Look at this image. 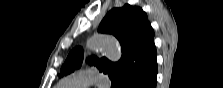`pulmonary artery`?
I'll use <instances>...</instances> for the list:
<instances>
[{"label": "pulmonary artery", "mask_w": 223, "mask_h": 88, "mask_svg": "<svg viewBox=\"0 0 223 88\" xmlns=\"http://www.w3.org/2000/svg\"><path fill=\"white\" fill-rule=\"evenodd\" d=\"M96 84L100 87H108L109 79L106 75L99 73L95 70H80L65 77L59 82V86L63 88L67 87H87Z\"/></svg>", "instance_id": "pulmonary-artery-1"}]
</instances>
